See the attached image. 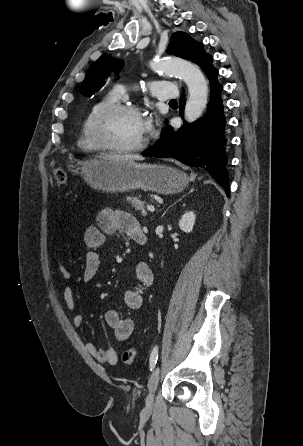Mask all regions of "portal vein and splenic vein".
<instances>
[{"label": "portal vein and splenic vein", "instance_id": "portal-vein-and-splenic-vein-1", "mask_svg": "<svg viewBox=\"0 0 303 446\" xmlns=\"http://www.w3.org/2000/svg\"><path fill=\"white\" fill-rule=\"evenodd\" d=\"M147 210L150 211V212H154L155 208H154L153 205H147Z\"/></svg>", "mask_w": 303, "mask_h": 446}]
</instances>
